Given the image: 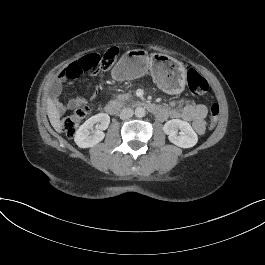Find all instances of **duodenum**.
Segmentation results:
<instances>
[{"label": "duodenum", "instance_id": "410a0bca", "mask_svg": "<svg viewBox=\"0 0 265 265\" xmlns=\"http://www.w3.org/2000/svg\"><path fill=\"white\" fill-rule=\"evenodd\" d=\"M134 105L136 106H143L147 108L151 113L156 115L157 117H160L163 115V107L159 106L158 104H155L153 102H147V101H136L134 102ZM123 107V103L119 100H112L108 102L105 106V111L109 115H116L119 113L121 108Z\"/></svg>", "mask_w": 265, "mask_h": 265}]
</instances>
